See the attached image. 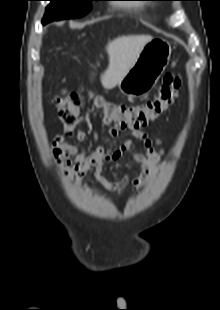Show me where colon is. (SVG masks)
Returning <instances> with one entry per match:
<instances>
[{
    "mask_svg": "<svg viewBox=\"0 0 220 310\" xmlns=\"http://www.w3.org/2000/svg\"><path fill=\"white\" fill-rule=\"evenodd\" d=\"M180 88L179 77L168 72L163 77L162 85L155 97L139 105H122L95 98V104L104 115L105 121L117 130L129 128L139 130L155 121L175 101ZM82 104L81 94L66 90L58 100L59 118L64 130L72 133L82 120L79 107Z\"/></svg>",
    "mask_w": 220,
    "mask_h": 310,
    "instance_id": "1",
    "label": "colon"
}]
</instances>
